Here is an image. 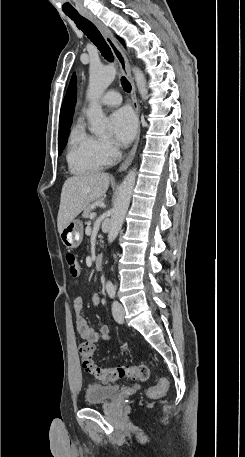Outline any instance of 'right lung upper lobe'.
I'll list each match as a JSON object with an SVG mask.
<instances>
[{"mask_svg":"<svg viewBox=\"0 0 245 457\" xmlns=\"http://www.w3.org/2000/svg\"><path fill=\"white\" fill-rule=\"evenodd\" d=\"M76 75L73 74L61 106L59 128L71 125L76 104Z\"/></svg>","mask_w":245,"mask_h":457,"instance_id":"right-lung-upper-lobe-1","label":"right lung upper lobe"}]
</instances>
